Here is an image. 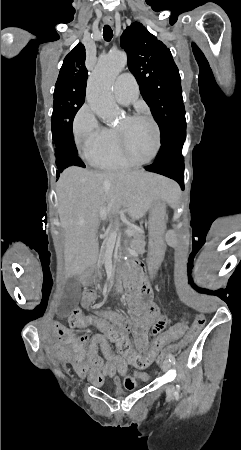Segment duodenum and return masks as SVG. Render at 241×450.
Returning <instances> with one entry per match:
<instances>
[{
  "mask_svg": "<svg viewBox=\"0 0 241 450\" xmlns=\"http://www.w3.org/2000/svg\"><path fill=\"white\" fill-rule=\"evenodd\" d=\"M96 273L94 269L85 272L82 277L83 283L86 285L93 283ZM114 287L117 291L145 293L148 290V283L141 261L133 258L119 264L116 269Z\"/></svg>",
  "mask_w": 241,
  "mask_h": 450,
  "instance_id": "obj_1",
  "label": "duodenum"
}]
</instances>
